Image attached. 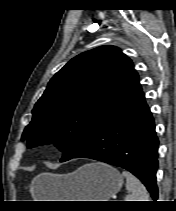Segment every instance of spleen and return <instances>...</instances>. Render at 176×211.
Masks as SVG:
<instances>
[{"label":"spleen","instance_id":"1","mask_svg":"<svg viewBox=\"0 0 176 211\" xmlns=\"http://www.w3.org/2000/svg\"><path fill=\"white\" fill-rule=\"evenodd\" d=\"M122 175L126 178V189L130 192L125 201H149V194L140 180L125 170Z\"/></svg>","mask_w":176,"mask_h":211}]
</instances>
